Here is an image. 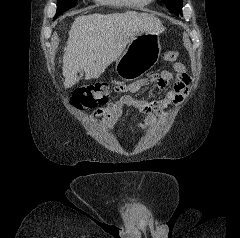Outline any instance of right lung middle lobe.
Wrapping results in <instances>:
<instances>
[{
	"label": "right lung middle lobe",
	"mask_w": 240,
	"mask_h": 238,
	"mask_svg": "<svg viewBox=\"0 0 240 238\" xmlns=\"http://www.w3.org/2000/svg\"><path fill=\"white\" fill-rule=\"evenodd\" d=\"M76 2L77 0H57V12L54 19L66 10L72 8L76 4Z\"/></svg>",
	"instance_id": "right-lung-middle-lobe-1"
}]
</instances>
